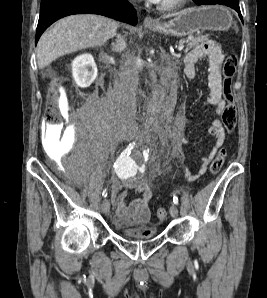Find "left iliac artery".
<instances>
[{"instance_id":"left-iliac-artery-1","label":"left iliac artery","mask_w":267,"mask_h":298,"mask_svg":"<svg viewBox=\"0 0 267 298\" xmlns=\"http://www.w3.org/2000/svg\"><path fill=\"white\" fill-rule=\"evenodd\" d=\"M173 202L175 205H178L179 201H178V197L177 196H173Z\"/></svg>"}]
</instances>
